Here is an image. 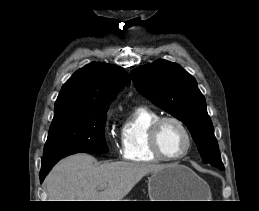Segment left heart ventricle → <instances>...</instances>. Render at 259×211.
Segmentation results:
<instances>
[{
    "label": "left heart ventricle",
    "instance_id": "b2bd125f",
    "mask_svg": "<svg viewBox=\"0 0 259 211\" xmlns=\"http://www.w3.org/2000/svg\"><path fill=\"white\" fill-rule=\"evenodd\" d=\"M159 141L163 152L170 157L179 155L187 146L183 130L174 122H167L162 126Z\"/></svg>",
    "mask_w": 259,
    "mask_h": 211
}]
</instances>
